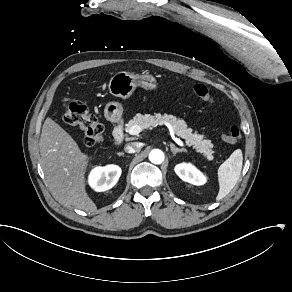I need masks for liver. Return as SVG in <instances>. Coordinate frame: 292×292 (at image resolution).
Returning <instances> with one entry per match:
<instances>
[{
  "mask_svg": "<svg viewBox=\"0 0 292 292\" xmlns=\"http://www.w3.org/2000/svg\"><path fill=\"white\" fill-rule=\"evenodd\" d=\"M39 150L41 167L53 193L69 207L97 211L86 190L88 165L94 156L81 151L77 141L51 117L43 123Z\"/></svg>",
  "mask_w": 292,
  "mask_h": 292,
  "instance_id": "1",
  "label": "liver"
}]
</instances>
